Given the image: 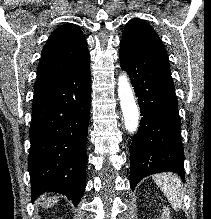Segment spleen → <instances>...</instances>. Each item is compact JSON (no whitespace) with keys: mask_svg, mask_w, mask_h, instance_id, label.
Here are the masks:
<instances>
[{"mask_svg":"<svg viewBox=\"0 0 211 219\" xmlns=\"http://www.w3.org/2000/svg\"><path fill=\"white\" fill-rule=\"evenodd\" d=\"M155 183L167 197L175 210H180L183 204V184L178 176L172 173L157 174L154 177Z\"/></svg>","mask_w":211,"mask_h":219,"instance_id":"spleen-1","label":"spleen"}]
</instances>
